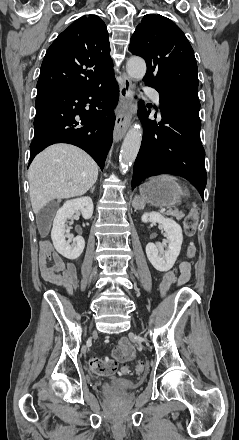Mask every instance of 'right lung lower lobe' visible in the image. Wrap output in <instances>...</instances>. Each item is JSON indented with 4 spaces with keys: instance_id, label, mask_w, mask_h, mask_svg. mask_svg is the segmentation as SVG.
<instances>
[{
    "instance_id": "right-lung-lower-lobe-1",
    "label": "right lung lower lobe",
    "mask_w": 239,
    "mask_h": 440,
    "mask_svg": "<svg viewBox=\"0 0 239 440\" xmlns=\"http://www.w3.org/2000/svg\"><path fill=\"white\" fill-rule=\"evenodd\" d=\"M118 95L113 75L84 87L37 92L29 164L46 147L70 143L85 150L103 169L112 143Z\"/></svg>"
}]
</instances>
